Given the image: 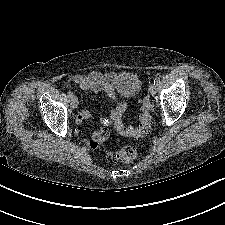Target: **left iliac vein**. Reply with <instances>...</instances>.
<instances>
[{
  "instance_id": "4c4485c4",
  "label": "left iliac vein",
  "mask_w": 225,
  "mask_h": 225,
  "mask_svg": "<svg viewBox=\"0 0 225 225\" xmlns=\"http://www.w3.org/2000/svg\"><path fill=\"white\" fill-rule=\"evenodd\" d=\"M149 91L151 93V95H155L156 92H157V87L155 84H151L150 88H149Z\"/></svg>"
}]
</instances>
